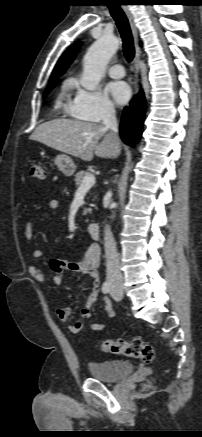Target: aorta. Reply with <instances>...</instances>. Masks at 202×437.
<instances>
[{
	"label": "aorta",
	"instance_id": "762f6f07",
	"mask_svg": "<svg viewBox=\"0 0 202 437\" xmlns=\"http://www.w3.org/2000/svg\"><path fill=\"white\" fill-rule=\"evenodd\" d=\"M119 47V40L115 36L104 35L95 41L88 49L83 64L81 85L89 91L97 89L104 75L105 69L111 57ZM114 208L117 204H113Z\"/></svg>",
	"mask_w": 202,
	"mask_h": 437
}]
</instances>
